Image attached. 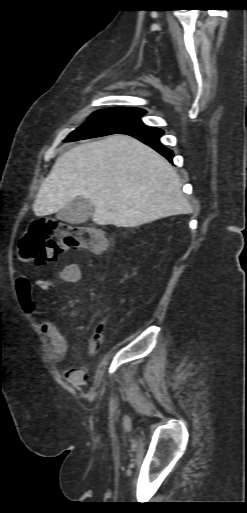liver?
Wrapping results in <instances>:
<instances>
[{
    "label": "liver",
    "instance_id": "6515ba94",
    "mask_svg": "<svg viewBox=\"0 0 247 513\" xmlns=\"http://www.w3.org/2000/svg\"><path fill=\"white\" fill-rule=\"evenodd\" d=\"M78 196L93 203L92 221L98 225L137 227L191 211L170 163L122 134L79 144L59 157L33 211L38 217L58 213Z\"/></svg>",
    "mask_w": 247,
    "mask_h": 513
}]
</instances>
